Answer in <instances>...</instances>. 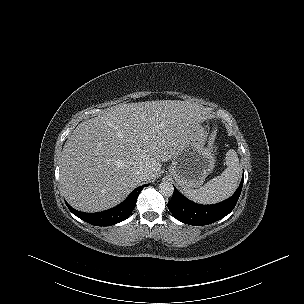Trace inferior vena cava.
I'll use <instances>...</instances> for the list:
<instances>
[{"label":"inferior vena cava","mask_w":304,"mask_h":304,"mask_svg":"<svg viewBox=\"0 0 304 304\" xmlns=\"http://www.w3.org/2000/svg\"><path fill=\"white\" fill-rule=\"evenodd\" d=\"M136 175L141 181H145L148 177V172L144 169H138Z\"/></svg>","instance_id":"inferior-vena-cava-1"}]
</instances>
